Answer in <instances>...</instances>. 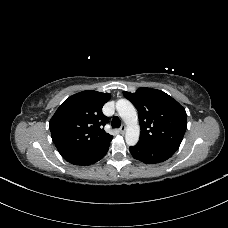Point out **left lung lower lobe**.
I'll return each instance as SVG.
<instances>
[{
  "instance_id": "left-lung-lower-lobe-1",
  "label": "left lung lower lobe",
  "mask_w": 228,
  "mask_h": 228,
  "mask_svg": "<svg viewBox=\"0 0 228 228\" xmlns=\"http://www.w3.org/2000/svg\"><path fill=\"white\" fill-rule=\"evenodd\" d=\"M130 153L139 161L148 164H156L169 159L175 151L161 147H151L137 144L130 147Z\"/></svg>"
}]
</instances>
